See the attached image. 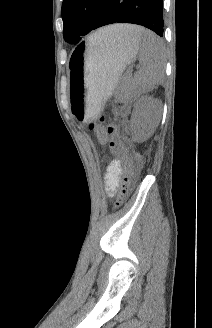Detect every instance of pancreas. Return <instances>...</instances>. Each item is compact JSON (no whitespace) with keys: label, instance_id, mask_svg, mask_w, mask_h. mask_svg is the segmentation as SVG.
<instances>
[{"label":"pancreas","instance_id":"cf45deb5","mask_svg":"<svg viewBox=\"0 0 212 328\" xmlns=\"http://www.w3.org/2000/svg\"><path fill=\"white\" fill-rule=\"evenodd\" d=\"M126 84H127V89L128 90H131L132 89L131 81L130 80H127L126 81Z\"/></svg>","mask_w":212,"mask_h":328}]
</instances>
